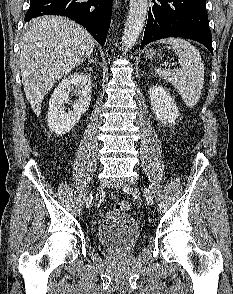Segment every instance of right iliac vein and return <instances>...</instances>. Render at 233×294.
Segmentation results:
<instances>
[{
    "instance_id": "obj_1",
    "label": "right iliac vein",
    "mask_w": 233,
    "mask_h": 294,
    "mask_svg": "<svg viewBox=\"0 0 233 294\" xmlns=\"http://www.w3.org/2000/svg\"><path fill=\"white\" fill-rule=\"evenodd\" d=\"M103 190V186L102 185H99L97 187V194H96V199L98 198V194Z\"/></svg>"
}]
</instances>
